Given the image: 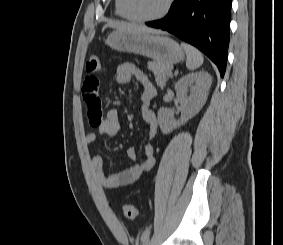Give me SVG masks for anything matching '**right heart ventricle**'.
I'll use <instances>...</instances> for the list:
<instances>
[{
    "instance_id": "obj_1",
    "label": "right heart ventricle",
    "mask_w": 283,
    "mask_h": 245,
    "mask_svg": "<svg viewBox=\"0 0 283 245\" xmlns=\"http://www.w3.org/2000/svg\"><path fill=\"white\" fill-rule=\"evenodd\" d=\"M115 13L124 19H129L123 8V0H115Z\"/></svg>"
}]
</instances>
